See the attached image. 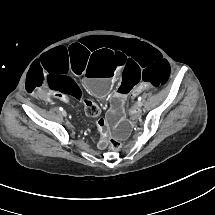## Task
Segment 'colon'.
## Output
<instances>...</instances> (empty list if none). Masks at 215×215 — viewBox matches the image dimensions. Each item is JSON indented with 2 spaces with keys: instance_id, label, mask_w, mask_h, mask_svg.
<instances>
[{
  "instance_id": "obj_1",
  "label": "colon",
  "mask_w": 215,
  "mask_h": 215,
  "mask_svg": "<svg viewBox=\"0 0 215 215\" xmlns=\"http://www.w3.org/2000/svg\"><path fill=\"white\" fill-rule=\"evenodd\" d=\"M84 110L86 115L90 117H96L101 114V108L95 102L92 101L86 102ZM111 145L113 149L115 150L119 149V146L115 141H112Z\"/></svg>"
}]
</instances>
